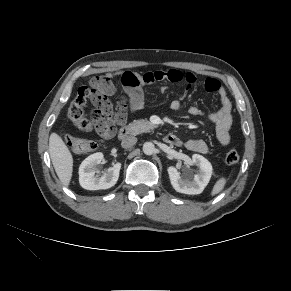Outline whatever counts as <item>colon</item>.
Returning a JSON list of instances; mask_svg holds the SVG:
<instances>
[{"label":"colon","instance_id":"1","mask_svg":"<svg viewBox=\"0 0 291 291\" xmlns=\"http://www.w3.org/2000/svg\"><path fill=\"white\" fill-rule=\"evenodd\" d=\"M209 84L215 86L214 82H209ZM108 87L109 82L102 80L96 86H83L78 89L68 109V117L78 130L90 131L94 127L97 129L102 120V109L107 103L106 91ZM87 104L92 106L90 116L85 113ZM65 142L70 150L76 154L89 153L98 147L97 142L70 134L65 135ZM224 159L227 164L233 165L239 161V155L235 150H230L225 154Z\"/></svg>","mask_w":291,"mask_h":291}]
</instances>
